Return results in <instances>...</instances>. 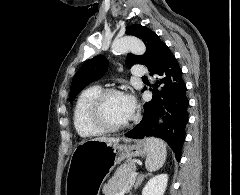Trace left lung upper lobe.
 <instances>
[{
  "mask_svg": "<svg viewBox=\"0 0 240 195\" xmlns=\"http://www.w3.org/2000/svg\"><path fill=\"white\" fill-rule=\"evenodd\" d=\"M126 34L136 36L141 39L146 46V53L138 56L128 54L126 67L131 68L134 64H142L150 72L155 71L171 54L170 49L163 43L157 34L145 26L134 24L126 27ZM108 61L103 55H98L87 60L75 74L70 88V101H72L80 91L89 83L101 78L107 68ZM143 89L141 92H143Z\"/></svg>",
  "mask_w": 240,
  "mask_h": 195,
  "instance_id": "1",
  "label": "left lung upper lobe"
}]
</instances>
